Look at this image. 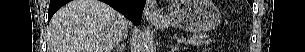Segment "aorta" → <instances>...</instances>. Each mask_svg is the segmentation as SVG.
Masks as SVG:
<instances>
[{"instance_id": "762f6f07", "label": "aorta", "mask_w": 305, "mask_h": 52, "mask_svg": "<svg viewBox=\"0 0 305 52\" xmlns=\"http://www.w3.org/2000/svg\"><path fill=\"white\" fill-rule=\"evenodd\" d=\"M136 52H151V43L144 32H140L136 42Z\"/></svg>"}]
</instances>
